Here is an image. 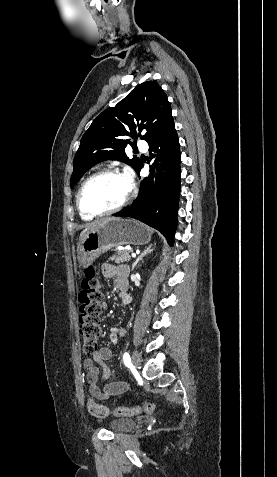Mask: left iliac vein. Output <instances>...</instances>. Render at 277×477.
I'll return each instance as SVG.
<instances>
[{"mask_svg": "<svg viewBox=\"0 0 277 477\" xmlns=\"http://www.w3.org/2000/svg\"><path fill=\"white\" fill-rule=\"evenodd\" d=\"M132 361H133L134 365L138 368L141 364V361H142L140 353H138V352L133 353Z\"/></svg>", "mask_w": 277, "mask_h": 477, "instance_id": "obj_1", "label": "left iliac vein"}]
</instances>
